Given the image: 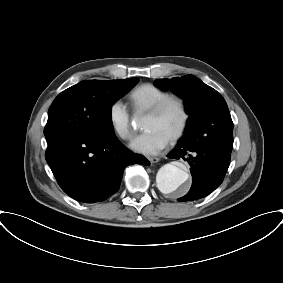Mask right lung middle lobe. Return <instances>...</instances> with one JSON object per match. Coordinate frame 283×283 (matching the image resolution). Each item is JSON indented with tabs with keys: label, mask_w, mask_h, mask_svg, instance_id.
Wrapping results in <instances>:
<instances>
[{
	"label": "right lung middle lobe",
	"mask_w": 283,
	"mask_h": 283,
	"mask_svg": "<svg viewBox=\"0 0 283 283\" xmlns=\"http://www.w3.org/2000/svg\"><path fill=\"white\" fill-rule=\"evenodd\" d=\"M138 83V78L86 80L60 93L48 110L47 142L70 134H113L112 105Z\"/></svg>",
	"instance_id": "obj_1"
}]
</instances>
